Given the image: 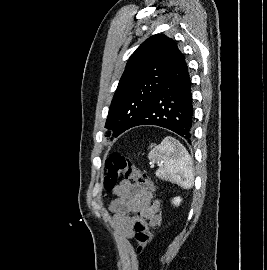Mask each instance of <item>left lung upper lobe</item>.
<instances>
[{"label":"left lung upper lobe","mask_w":267,"mask_h":270,"mask_svg":"<svg viewBox=\"0 0 267 270\" xmlns=\"http://www.w3.org/2000/svg\"><path fill=\"white\" fill-rule=\"evenodd\" d=\"M180 53L174 40L156 34L130 56L105 124L114 137L131 128L153 101L168 80Z\"/></svg>","instance_id":"obj_1"}]
</instances>
